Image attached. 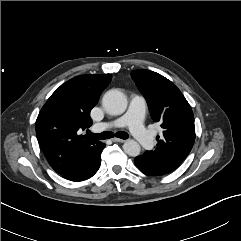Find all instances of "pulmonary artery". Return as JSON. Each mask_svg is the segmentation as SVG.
Here are the masks:
<instances>
[{
	"mask_svg": "<svg viewBox=\"0 0 241 241\" xmlns=\"http://www.w3.org/2000/svg\"><path fill=\"white\" fill-rule=\"evenodd\" d=\"M146 102L140 95H134L126 115L113 121L104 122L98 125L97 129L122 128L128 126L131 134L145 148L150 149L154 145V138L143 125Z\"/></svg>",
	"mask_w": 241,
	"mask_h": 241,
	"instance_id": "e3ab8cb5",
	"label": "pulmonary artery"
}]
</instances>
